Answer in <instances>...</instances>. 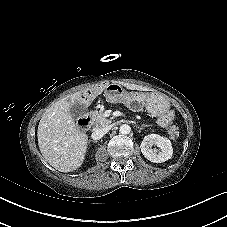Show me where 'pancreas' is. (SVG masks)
<instances>
[{"mask_svg":"<svg viewBox=\"0 0 227 227\" xmlns=\"http://www.w3.org/2000/svg\"><path fill=\"white\" fill-rule=\"evenodd\" d=\"M92 116L97 126L104 127L111 123V121L105 117L104 110L102 109L100 111H94L92 113ZM167 133L170 139H172L173 141L176 140L179 135L178 127L175 125L168 127Z\"/></svg>","mask_w":227,"mask_h":227,"instance_id":"cf45deb5","label":"pancreas"}]
</instances>
